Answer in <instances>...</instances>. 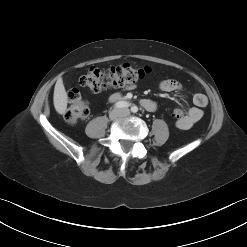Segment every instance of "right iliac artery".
Returning a JSON list of instances; mask_svg holds the SVG:
<instances>
[{"mask_svg": "<svg viewBox=\"0 0 247 247\" xmlns=\"http://www.w3.org/2000/svg\"><path fill=\"white\" fill-rule=\"evenodd\" d=\"M129 106L130 104L126 101H119L114 105L115 108H123V107H129Z\"/></svg>", "mask_w": 247, "mask_h": 247, "instance_id": "right-iliac-artery-1", "label": "right iliac artery"}]
</instances>
